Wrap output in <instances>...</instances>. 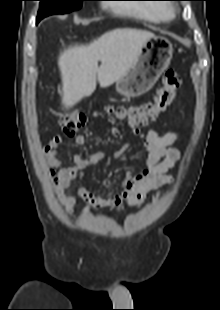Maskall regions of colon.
Here are the masks:
<instances>
[{
	"label": "colon",
	"mask_w": 220,
	"mask_h": 310,
	"mask_svg": "<svg viewBox=\"0 0 220 310\" xmlns=\"http://www.w3.org/2000/svg\"><path fill=\"white\" fill-rule=\"evenodd\" d=\"M180 86V75L174 70H167L163 75L161 87L151 101L134 106H116L110 111L118 118L126 120L134 130H139L156 120L172 105ZM85 123V114L75 110L65 111L60 121L66 135H74Z\"/></svg>",
	"instance_id": "colon-1"
}]
</instances>
